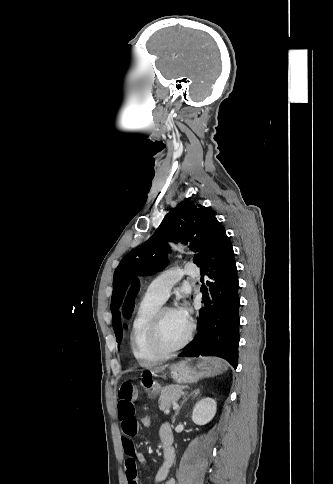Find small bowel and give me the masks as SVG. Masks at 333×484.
Returning <instances> with one entry per match:
<instances>
[{
    "mask_svg": "<svg viewBox=\"0 0 333 484\" xmlns=\"http://www.w3.org/2000/svg\"><path fill=\"white\" fill-rule=\"evenodd\" d=\"M138 390L131 381H125L118 390L117 414L122 429V445L125 459V473L128 484H138L137 462L146 464L144 454L136 450L133 439L140 430L134 402L137 399ZM159 437L163 444L168 443L167 452L164 451V462L155 476V484H176L175 480L168 477L169 469L174 461L175 452L172 447L173 433L169 424H163L159 429Z\"/></svg>",
    "mask_w": 333,
    "mask_h": 484,
    "instance_id": "1",
    "label": "small bowel"
}]
</instances>
